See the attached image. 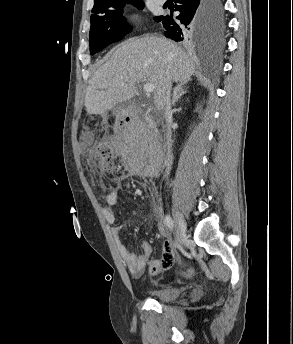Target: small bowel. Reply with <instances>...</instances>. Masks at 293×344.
<instances>
[{"instance_id":"c3829d8e","label":"small bowel","mask_w":293,"mask_h":344,"mask_svg":"<svg viewBox=\"0 0 293 344\" xmlns=\"http://www.w3.org/2000/svg\"><path fill=\"white\" fill-rule=\"evenodd\" d=\"M118 202V189H114L107 194L106 205H104L102 208L104 218L110 224H114L116 221V212L114 210V206ZM157 229L163 240L161 246L162 255L156 259H151L153 246L149 241H145L141 244V252L139 254H134L128 250L120 238L119 233L121 227L119 225H113L110 229L115 248L127 270L134 278H140L144 274L147 266H149V271L152 275H157L168 270L173 264L175 251L161 222L157 223ZM202 292V289L196 288L192 292V297H199Z\"/></svg>"}]
</instances>
